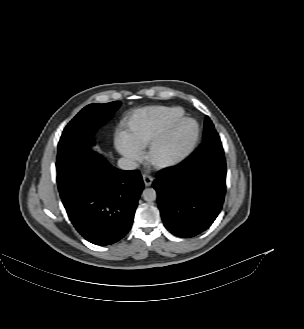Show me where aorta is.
Segmentation results:
<instances>
[{
  "label": "aorta",
  "mask_w": 304,
  "mask_h": 329,
  "mask_svg": "<svg viewBox=\"0 0 304 329\" xmlns=\"http://www.w3.org/2000/svg\"><path fill=\"white\" fill-rule=\"evenodd\" d=\"M143 199L147 202H152L156 200L157 194L153 188H146L142 193Z\"/></svg>",
  "instance_id": "1"
}]
</instances>
